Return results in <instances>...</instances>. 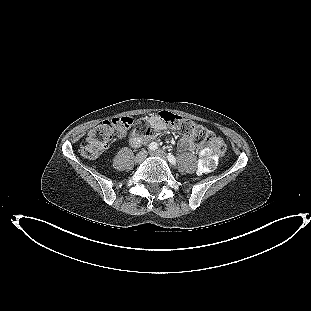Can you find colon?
Masks as SVG:
<instances>
[{
	"label": "colon",
	"mask_w": 311,
	"mask_h": 311,
	"mask_svg": "<svg viewBox=\"0 0 311 311\" xmlns=\"http://www.w3.org/2000/svg\"><path fill=\"white\" fill-rule=\"evenodd\" d=\"M159 117L166 124L191 137L196 143L210 144L212 147L202 152L200 167L202 170H210L215 166L218 157L224 152V145L207 128L168 111L160 112ZM132 124L133 119L128 116L102 121L89 131L84 144L80 147V154L87 159L97 158L107 145L122 137Z\"/></svg>",
	"instance_id": "1"
}]
</instances>
